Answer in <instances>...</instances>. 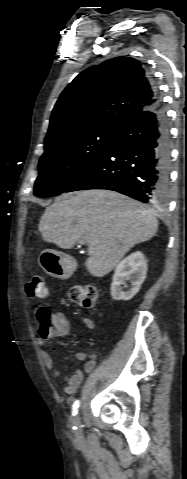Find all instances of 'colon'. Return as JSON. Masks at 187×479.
Wrapping results in <instances>:
<instances>
[{
  "label": "colon",
  "mask_w": 187,
  "mask_h": 479,
  "mask_svg": "<svg viewBox=\"0 0 187 479\" xmlns=\"http://www.w3.org/2000/svg\"><path fill=\"white\" fill-rule=\"evenodd\" d=\"M26 290L31 298L45 299L47 297V288L42 275H34L27 283ZM67 300L75 305L86 309H92L96 306L98 292L92 285H75L67 291ZM35 318L38 322L39 334L44 339L56 337L58 326L52 316L51 311L46 307H37L35 309Z\"/></svg>",
  "instance_id": "1"
}]
</instances>
